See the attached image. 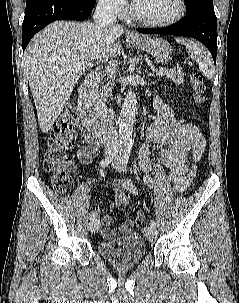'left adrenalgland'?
<instances>
[{
  "mask_svg": "<svg viewBox=\"0 0 239 303\" xmlns=\"http://www.w3.org/2000/svg\"><path fill=\"white\" fill-rule=\"evenodd\" d=\"M145 72H146V73H147V75H148V76H150V77L154 76V74H152V73H148V71H147V70H146Z\"/></svg>",
  "mask_w": 239,
  "mask_h": 303,
  "instance_id": "a2214340",
  "label": "left adrenal gland"
}]
</instances>
